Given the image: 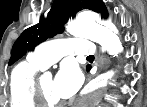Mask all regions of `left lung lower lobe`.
<instances>
[{"instance_id": "left-lung-lower-lobe-1", "label": "left lung lower lobe", "mask_w": 147, "mask_h": 107, "mask_svg": "<svg viewBox=\"0 0 147 107\" xmlns=\"http://www.w3.org/2000/svg\"><path fill=\"white\" fill-rule=\"evenodd\" d=\"M91 69V67H87V71H89Z\"/></svg>"}]
</instances>
